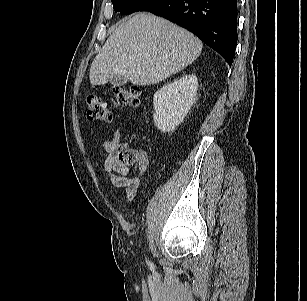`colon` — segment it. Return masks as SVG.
Instances as JSON below:
<instances>
[{
	"mask_svg": "<svg viewBox=\"0 0 307 301\" xmlns=\"http://www.w3.org/2000/svg\"><path fill=\"white\" fill-rule=\"evenodd\" d=\"M140 93L138 88L113 90L110 100L116 107L132 106L136 107L140 103ZM87 115L99 122H109L111 120V110L107 103L98 95L87 97ZM120 159L127 164H135L140 160V153L132 148H123L120 152Z\"/></svg>",
	"mask_w": 307,
	"mask_h": 301,
	"instance_id": "1",
	"label": "colon"
}]
</instances>
